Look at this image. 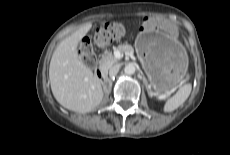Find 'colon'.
Listing matches in <instances>:
<instances>
[{"instance_id":"colon-1","label":"colon","mask_w":230,"mask_h":155,"mask_svg":"<svg viewBox=\"0 0 230 155\" xmlns=\"http://www.w3.org/2000/svg\"><path fill=\"white\" fill-rule=\"evenodd\" d=\"M123 33L124 30L121 24L107 22L102 27L97 29V32L93 37V42L91 41L90 37L86 35L81 36L79 52L83 61L89 67H93L97 61L93 44L101 48L106 47L120 38Z\"/></svg>"}]
</instances>
